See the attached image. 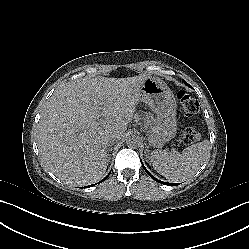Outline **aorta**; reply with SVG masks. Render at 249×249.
Here are the masks:
<instances>
[{
	"label": "aorta",
	"mask_w": 249,
	"mask_h": 249,
	"mask_svg": "<svg viewBox=\"0 0 249 249\" xmlns=\"http://www.w3.org/2000/svg\"><path fill=\"white\" fill-rule=\"evenodd\" d=\"M140 144V139L136 135H131L126 138V145L128 147H137Z\"/></svg>",
	"instance_id": "aorta-1"
}]
</instances>
